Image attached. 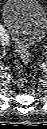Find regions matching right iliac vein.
Segmentation results:
<instances>
[{
  "mask_svg": "<svg viewBox=\"0 0 47 129\" xmlns=\"http://www.w3.org/2000/svg\"><path fill=\"white\" fill-rule=\"evenodd\" d=\"M8 44H9V40L2 42V45H8Z\"/></svg>",
  "mask_w": 47,
  "mask_h": 129,
  "instance_id": "obj_1",
  "label": "right iliac vein"
}]
</instances>
